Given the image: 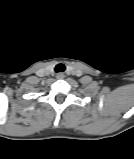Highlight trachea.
<instances>
[{
    "mask_svg": "<svg viewBox=\"0 0 134 159\" xmlns=\"http://www.w3.org/2000/svg\"><path fill=\"white\" fill-rule=\"evenodd\" d=\"M65 69H66L65 65L62 64V63H59V64H57V65L55 66V69H54V70H55L56 73H59V72H64Z\"/></svg>",
    "mask_w": 134,
    "mask_h": 159,
    "instance_id": "obj_1",
    "label": "trachea"
}]
</instances>
